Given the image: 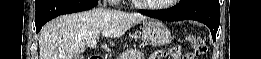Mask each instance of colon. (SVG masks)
Here are the masks:
<instances>
[{
    "label": "colon",
    "instance_id": "obj_1",
    "mask_svg": "<svg viewBox=\"0 0 261 59\" xmlns=\"http://www.w3.org/2000/svg\"><path fill=\"white\" fill-rule=\"evenodd\" d=\"M190 42L193 46V49L196 53L197 56H200V55H203L206 53L207 51V46H206V43L205 41L201 38V37H198V36H192L190 37ZM166 56L167 57H171V58H174V59H179V58H184L182 56V49L181 47L179 46H174L172 47L170 50H169V53L167 54L165 52ZM190 58H193L192 56Z\"/></svg>",
    "mask_w": 261,
    "mask_h": 59
}]
</instances>
